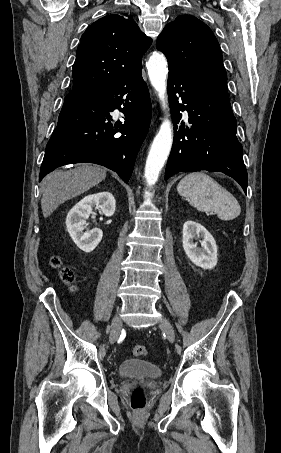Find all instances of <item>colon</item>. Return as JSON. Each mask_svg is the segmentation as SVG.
Returning a JSON list of instances; mask_svg holds the SVG:
<instances>
[{"label": "colon", "mask_w": 281, "mask_h": 453, "mask_svg": "<svg viewBox=\"0 0 281 453\" xmlns=\"http://www.w3.org/2000/svg\"><path fill=\"white\" fill-rule=\"evenodd\" d=\"M49 265L58 268L61 265V259L58 256L49 258ZM60 278L67 283H73L76 280L75 273L67 268L61 269ZM132 354L137 358H146L149 355L148 348L145 345H134ZM130 406L134 411H142L145 407V397L140 386H134L130 394Z\"/></svg>", "instance_id": "1"}]
</instances>
